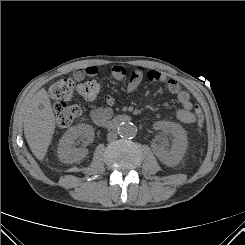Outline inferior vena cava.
I'll return each instance as SVG.
<instances>
[{"label":"inferior vena cava","mask_w":245,"mask_h":245,"mask_svg":"<svg viewBox=\"0 0 245 245\" xmlns=\"http://www.w3.org/2000/svg\"><path fill=\"white\" fill-rule=\"evenodd\" d=\"M117 138V133L115 131H110L107 135L108 141H113Z\"/></svg>","instance_id":"602c4592"}]
</instances>
